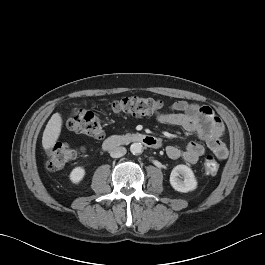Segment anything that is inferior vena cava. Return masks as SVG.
<instances>
[{"instance_id":"602c4592","label":"inferior vena cava","mask_w":265,"mask_h":265,"mask_svg":"<svg viewBox=\"0 0 265 265\" xmlns=\"http://www.w3.org/2000/svg\"><path fill=\"white\" fill-rule=\"evenodd\" d=\"M127 150L125 147H116L110 152L112 158H120L126 154Z\"/></svg>"}]
</instances>
